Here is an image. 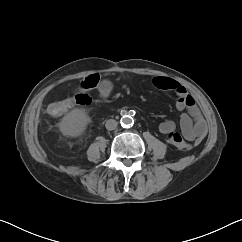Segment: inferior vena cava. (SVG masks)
Wrapping results in <instances>:
<instances>
[{
	"mask_svg": "<svg viewBox=\"0 0 242 242\" xmlns=\"http://www.w3.org/2000/svg\"><path fill=\"white\" fill-rule=\"evenodd\" d=\"M118 125V122L114 119H109L106 121L105 127L107 130H114Z\"/></svg>",
	"mask_w": 242,
	"mask_h": 242,
	"instance_id": "602c4592",
	"label": "inferior vena cava"
}]
</instances>
